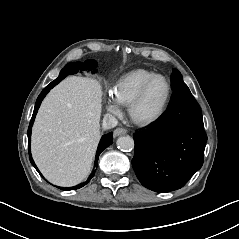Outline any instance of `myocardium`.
Segmentation results:
<instances>
[{"instance_id":"myocardium-1","label":"myocardium","mask_w":239,"mask_h":239,"mask_svg":"<svg viewBox=\"0 0 239 239\" xmlns=\"http://www.w3.org/2000/svg\"><path fill=\"white\" fill-rule=\"evenodd\" d=\"M157 79H164L167 83L168 92H167L166 100H165L162 108L156 115H154L153 117H150V118L141 117L137 113V108H138L139 104L141 103L142 99L144 98L149 87ZM171 98H172V85H171L170 80L164 75L157 74V75L151 77L150 79H148L142 85V87L139 89L137 94L134 96L131 103L129 104V108H128L129 115H130L131 119L138 125H141V126L153 125V124L157 123L158 121H160L164 117V115L167 112L168 107L170 105Z\"/></svg>"}]
</instances>
